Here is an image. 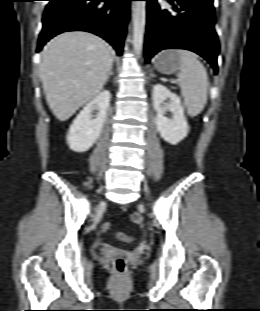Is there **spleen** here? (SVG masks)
I'll return each instance as SVG.
<instances>
[{
	"label": "spleen",
	"mask_w": 260,
	"mask_h": 311,
	"mask_svg": "<svg viewBox=\"0 0 260 311\" xmlns=\"http://www.w3.org/2000/svg\"><path fill=\"white\" fill-rule=\"evenodd\" d=\"M181 66L178 73L179 86L187 107L188 115L195 117L201 113L207 103L209 87L208 75L195 53L177 50Z\"/></svg>",
	"instance_id": "obj_1"
}]
</instances>
